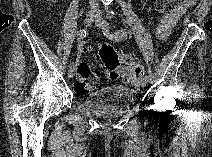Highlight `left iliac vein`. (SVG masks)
I'll return each mask as SVG.
<instances>
[{
    "label": "left iliac vein",
    "mask_w": 212,
    "mask_h": 157,
    "mask_svg": "<svg viewBox=\"0 0 212 157\" xmlns=\"http://www.w3.org/2000/svg\"><path fill=\"white\" fill-rule=\"evenodd\" d=\"M95 23L98 27H100L103 30L109 28V24L107 23V21L100 16L96 18ZM139 83L142 87H145L147 82L141 79Z\"/></svg>",
    "instance_id": "1"
}]
</instances>
